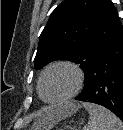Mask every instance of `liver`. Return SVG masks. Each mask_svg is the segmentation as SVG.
Here are the masks:
<instances>
[{"label":"liver","mask_w":123,"mask_h":130,"mask_svg":"<svg viewBox=\"0 0 123 130\" xmlns=\"http://www.w3.org/2000/svg\"><path fill=\"white\" fill-rule=\"evenodd\" d=\"M78 108L79 106L73 103H67L65 106L58 108L48 107L45 111L38 115L32 128L35 130H49L51 126L69 114L73 113Z\"/></svg>","instance_id":"6515ba94"}]
</instances>
